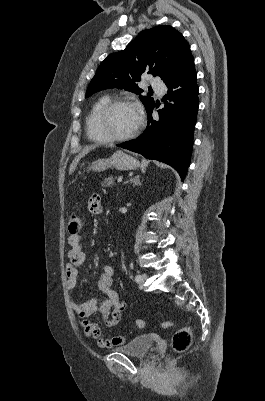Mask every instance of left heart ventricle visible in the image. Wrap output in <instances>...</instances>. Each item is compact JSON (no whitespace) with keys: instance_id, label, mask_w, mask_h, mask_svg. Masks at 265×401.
I'll return each instance as SVG.
<instances>
[{"instance_id":"obj_1","label":"left heart ventricle","mask_w":265,"mask_h":401,"mask_svg":"<svg viewBox=\"0 0 265 401\" xmlns=\"http://www.w3.org/2000/svg\"><path fill=\"white\" fill-rule=\"evenodd\" d=\"M138 115L131 105H121L114 108L103 121V129L109 136H121L134 129Z\"/></svg>"}]
</instances>
